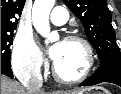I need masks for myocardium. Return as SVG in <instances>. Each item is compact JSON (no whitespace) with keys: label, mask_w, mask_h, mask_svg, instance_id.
Masks as SVG:
<instances>
[{"label":"myocardium","mask_w":121,"mask_h":94,"mask_svg":"<svg viewBox=\"0 0 121 94\" xmlns=\"http://www.w3.org/2000/svg\"><path fill=\"white\" fill-rule=\"evenodd\" d=\"M65 41L78 42L83 46V48L85 50V54H86L85 66H84L83 71L79 75L66 78V77H63L58 72L56 64L53 63V65H52L53 77L55 78V80L57 82L66 84V85L80 83V82L84 81L90 75V73L93 69L94 62H95L93 48H92L91 44L88 42V40L80 35H76V34L68 35L65 37Z\"/></svg>","instance_id":"myocardium-1"}]
</instances>
